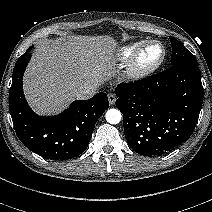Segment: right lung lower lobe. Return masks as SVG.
I'll use <instances>...</instances> for the list:
<instances>
[{
  "label": "right lung lower lobe",
  "instance_id": "98d812e1",
  "mask_svg": "<svg viewBox=\"0 0 212 212\" xmlns=\"http://www.w3.org/2000/svg\"><path fill=\"white\" fill-rule=\"evenodd\" d=\"M31 48L16 62L9 91V110L17 136L34 153L51 160H67L87 147L95 124L109 107L105 93L74 101L57 116L42 117L28 106L22 78L31 58Z\"/></svg>",
  "mask_w": 212,
  "mask_h": 212
}]
</instances>
